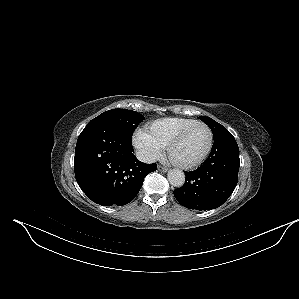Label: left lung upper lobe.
<instances>
[{
	"label": "left lung upper lobe",
	"instance_id": "obj_1",
	"mask_svg": "<svg viewBox=\"0 0 299 299\" xmlns=\"http://www.w3.org/2000/svg\"><path fill=\"white\" fill-rule=\"evenodd\" d=\"M199 118L210 127V129L213 132V136L217 135L218 133H220L224 130H227L223 125L217 123L216 121H214L213 119H211L209 117L201 116Z\"/></svg>",
	"mask_w": 299,
	"mask_h": 299
}]
</instances>
